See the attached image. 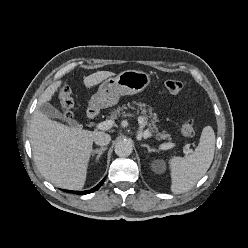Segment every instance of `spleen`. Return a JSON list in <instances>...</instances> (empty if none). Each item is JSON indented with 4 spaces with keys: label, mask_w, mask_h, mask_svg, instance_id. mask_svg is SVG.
<instances>
[{
    "label": "spleen",
    "mask_w": 248,
    "mask_h": 248,
    "mask_svg": "<svg viewBox=\"0 0 248 248\" xmlns=\"http://www.w3.org/2000/svg\"><path fill=\"white\" fill-rule=\"evenodd\" d=\"M214 150V130L206 126L193 153L184 158L173 157L169 160L171 191L174 194L187 192L205 175L212 163Z\"/></svg>",
    "instance_id": "obj_1"
}]
</instances>
